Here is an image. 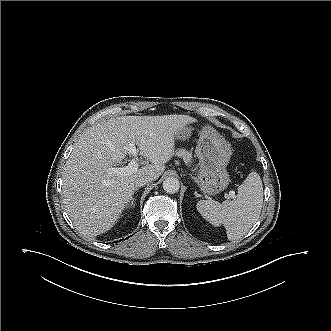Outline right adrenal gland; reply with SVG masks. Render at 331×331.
<instances>
[{
    "label": "right adrenal gland",
    "instance_id": "right-adrenal-gland-1",
    "mask_svg": "<svg viewBox=\"0 0 331 331\" xmlns=\"http://www.w3.org/2000/svg\"><path fill=\"white\" fill-rule=\"evenodd\" d=\"M139 188H134L133 191H132V194H131V198L129 200V206H133L135 205V201L136 199L133 197L135 192L138 191Z\"/></svg>",
    "mask_w": 331,
    "mask_h": 331
}]
</instances>
